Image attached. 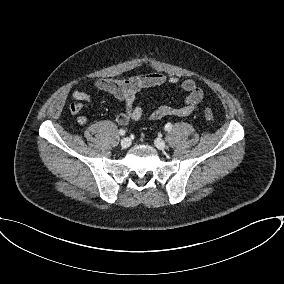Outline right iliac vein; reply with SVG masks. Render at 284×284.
Here are the masks:
<instances>
[{"label": "right iliac vein", "mask_w": 284, "mask_h": 284, "mask_svg": "<svg viewBox=\"0 0 284 284\" xmlns=\"http://www.w3.org/2000/svg\"><path fill=\"white\" fill-rule=\"evenodd\" d=\"M120 145L122 148L126 149L131 145V139L130 138H123L120 142Z\"/></svg>", "instance_id": "63e3f726"}]
</instances>
